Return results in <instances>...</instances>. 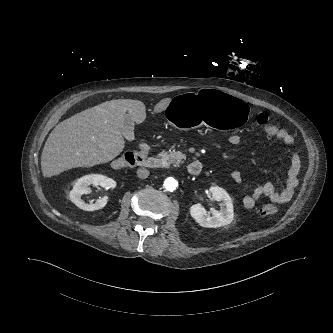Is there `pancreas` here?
<instances>
[{"instance_id":"cf45deb5","label":"pancreas","mask_w":333,"mask_h":333,"mask_svg":"<svg viewBox=\"0 0 333 333\" xmlns=\"http://www.w3.org/2000/svg\"><path fill=\"white\" fill-rule=\"evenodd\" d=\"M159 157L163 161L167 163V165L174 164L175 166H178L182 160L186 159V156L182 154L181 152H175V151H162L158 154Z\"/></svg>"}]
</instances>
